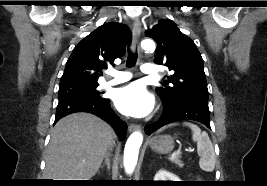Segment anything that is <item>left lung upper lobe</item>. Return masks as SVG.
<instances>
[{"label": "left lung upper lobe", "mask_w": 267, "mask_h": 186, "mask_svg": "<svg viewBox=\"0 0 267 186\" xmlns=\"http://www.w3.org/2000/svg\"><path fill=\"white\" fill-rule=\"evenodd\" d=\"M146 35L157 43L155 63L165 65L174 74L157 87L164 107L185 102L208 104L209 93L203 59L191 38L183 34L169 19L161 20ZM171 84L167 86L166 84Z\"/></svg>", "instance_id": "5c2ea615"}]
</instances>
